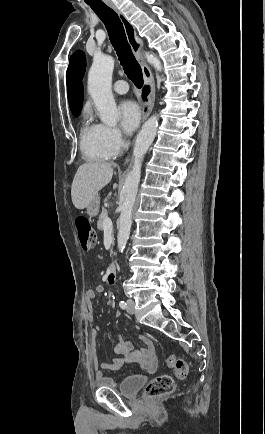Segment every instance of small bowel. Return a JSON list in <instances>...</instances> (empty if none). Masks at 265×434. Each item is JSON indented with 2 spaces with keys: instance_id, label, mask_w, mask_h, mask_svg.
<instances>
[{
  "instance_id": "c3829d8e",
  "label": "small bowel",
  "mask_w": 265,
  "mask_h": 434,
  "mask_svg": "<svg viewBox=\"0 0 265 434\" xmlns=\"http://www.w3.org/2000/svg\"><path fill=\"white\" fill-rule=\"evenodd\" d=\"M104 287L102 284H98L94 289H89L86 291V300L89 306V319L94 320V312L92 309L93 301L97 294L103 293ZM115 315L119 318L122 316L120 310H115ZM99 327H95L92 330V338L95 340L99 334ZM140 339L144 344V348L135 349L134 344L124 338H120L117 350L122 354V357L113 360L111 365L102 363L97 356L94 357V367L97 376V381L101 387H111L114 381L108 378L107 374H104L102 370L104 369H117L125 361L131 359L133 356L136 360L143 364L149 373H154L157 370V357H156V346L154 341L147 335H140Z\"/></svg>"
}]
</instances>
